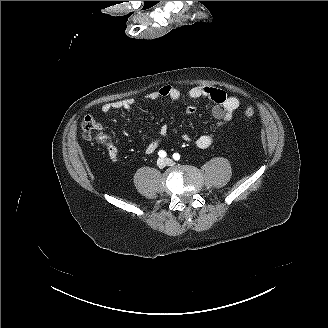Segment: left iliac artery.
Instances as JSON below:
<instances>
[{
	"instance_id": "44dca946",
	"label": "left iliac artery",
	"mask_w": 328,
	"mask_h": 328,
	"mask_svg": "<svg viewBox=\"0 0 328 328\" xmlns=\"http://www.w3.org/2000/svg\"><path fill=\"white\" fill-rule=\"evenodd\" d=\"M173 159L178 161L180 159V155L178 153L173 154Z\"/></svg>"
}]
</instances>
